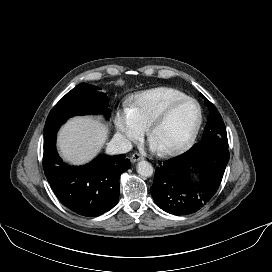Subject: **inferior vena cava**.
Segmentation results:
<instances>
[{
	"label": "inferior vena cava",
	"instance_id": "602c4592",
	"mask_svg": "<svg viewBox=\"0 0 272 272\" xmlns=\"http://www.w3.org/2000/svg\"><path fill=\"white\" fill-rule=\"evenodd\" d=\"M132 149V143L121 134H115L109 142L106 152L110 155L127 153Z\"/></svg>",
	"mask_w": 272,
	"mask_h": 272
}]
</instances>
